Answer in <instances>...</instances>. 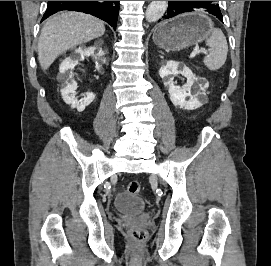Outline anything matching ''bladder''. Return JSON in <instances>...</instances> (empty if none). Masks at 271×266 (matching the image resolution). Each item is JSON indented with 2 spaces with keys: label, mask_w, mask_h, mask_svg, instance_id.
Returning a JSON list of instances; mask_svg holds the SVG:
<instances>
[{
  "label": "bladder",
  "mask_w": 271,
  "mask_h": 266,
  "mask_svg": "<svg viewBox=\"0 0 271 266\" xmlns=\"http://www.w3.org/2000/svg\"><path fill=\"white\" fill-rule=\"evenodd\" d=\"M113 208L118 213L135 216L145 209V202L135 194L121 193L115 199Z\"/></svg>",
  "instance_id": "bladder-1"
}]
</instances>
